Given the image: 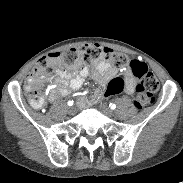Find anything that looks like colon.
I'll use <instances>...</instances> for the list:
<instances>
[{
	"label": "colon",
	"mask_w": 183,
	"mask_h": 183,
	"mask_svg": "<svg viewBox=\"0 0 183 183\" xmlns=\"http://www.w3.org/2000/svg\"><path fill=\"white\" fill-rule=\"evenodd\" d=\"M99 60H103L115 68H122L129 64L134 75L140 79L134 96L135 106L143 108L154 102L155 94L159 91L160 84L155 75L148 70L147 65L138 60L129 61L127 55L96 44H86L78 48L50 53L40 58L30 72L29 80L25 86L29 102L35 108H40L44 105L43 94L32 86L33 80L40 73L49 71L54 66L74 67L80 63H90ZM124 86V79L115 77L107 84L104 96L111 97L119 94L123 91Z\"/></svg>",
	"instance_id": "1"
}]
</instances>
